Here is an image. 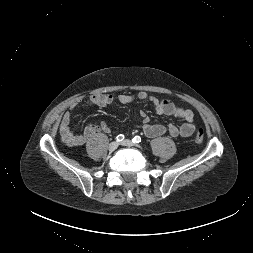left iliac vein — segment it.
Instances as JSON below:
<instances>
[{
    "instance_id": "obj_1",
    "label": "left iliac vein",
    "mask_w": 253,
    "mask_h": 253,
    "mask_svg": "<svg viewBox=\"0 0 253 253\" xmlns=\"http://www.w3.org/2000/svg\"><path fill=\"white\" fill-rule=\"evenodd\" d=\"M121 145L127 146V147L134 146L133 142L131 140H128V139H126L123 142H121Z\"/></svg>"
}]
</instances>
